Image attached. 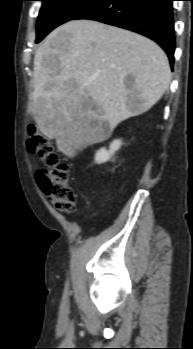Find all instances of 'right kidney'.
<instances>
[{
    "label": "right kidney",
    "instance_id": "1",
    "mask_svg": "<svg viewBox=\"0 0 193 349\" xmlns=\"http://www.w3.org/2000/svg\"><path fill=\"white\" fill-rule=\"evenodd\" d=\"M122 143L120 140H114L109 149L101 148L95 154V162L98 164L105 163L111 159L115 152L121 147Z\"/></svg>",
    "mask_w": 193,
    "mask_h": 349
}]
</instances>
